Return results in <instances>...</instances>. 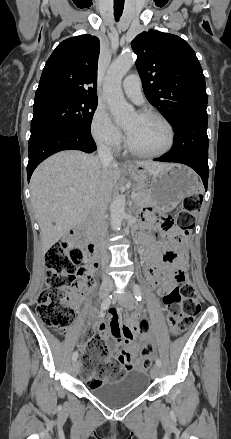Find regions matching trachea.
<instances>
[{"label": "trachea", "instance_id": "3493384b", "mask_svg": "<svg viewBox=\"0 0 231 439\" xmlns=\"http://www.w3.org/2000/svg\"><path fill=\"white\" fill-rule=\"evenodd\" d=\"M123 9H124V2L123 3L114 2V16L116 21H118L119 18L121 17Z\"/></svg>", "mask_w": 231, "mask_h": 439}]
</instances>
